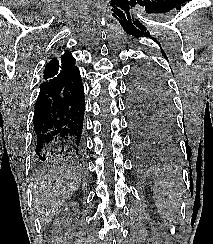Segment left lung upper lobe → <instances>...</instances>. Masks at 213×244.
I'll return each mask as SVG.
<instances>
[{
	"label": "left lung upper lobe",
	"mask_w": 213,
	"mask_h": 244,
	"mask_svg": "<svg viewBox=\"0 0 213 244\" xmlns=\"http://www.w3.org/2000/svg\"><path fill=\"white\" fill-rule=\"evenodd\" d=\"M129 82V112L147 120L164 141L175 138L174 103L163 73L143 63L134 68Z\"/></svg>",
	"instance_id": "left-lung-upper-lobe-1"
}]
</instances>
